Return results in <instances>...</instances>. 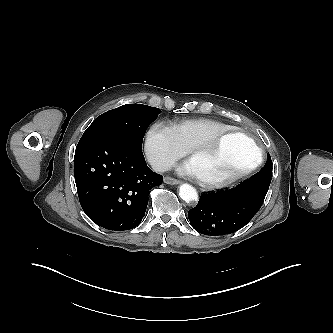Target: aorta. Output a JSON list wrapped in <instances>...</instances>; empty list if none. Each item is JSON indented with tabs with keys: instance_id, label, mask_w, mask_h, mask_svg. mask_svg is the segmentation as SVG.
I'll return each instance as SVG.
<instances>
[{
	"instance_id": "aorta-1",
	"label": "aorta",
	"mask_w": 333,
	"mask_h": 333,
	"mask_svg": "<svg viewBox=\"0 0 333 333\" xmlns=\"http://www.w3.org/2000/svg\"><path fill=\"white\" fill-rule=\"evenodd\" d=\"M179 196L186 202H192L198 199V193L196 189L187 183H184L180 186Z\"/></svg>"
}]
</instances>
